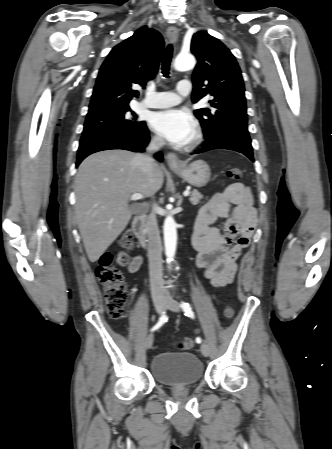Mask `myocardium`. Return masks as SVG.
<instances>
[{"mask_svg": "<svg viewBox=\"0 0 332 449\" xmlns=\"http://www.w3.org/2000/svg\"><path fill=\"white\" fill-rule=\"evenodd\" d=\"M201 141V133L199 131H195L191 141L188 144V148H194Z\"/></svg>", "mask_w": 332, "mask_h": 449, "instance_id": "f54148a6", "label": "myocardium"}]
</instances>
